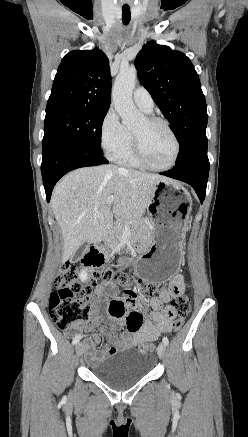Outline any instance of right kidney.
Here are the masks:
<instances>
[{
  "label": "right kidney",
  "instance_id": "1",
  "mask_svg": "<svg viewBox=\"0 0 248 437\" xmlns=\"http://www.w3.org/2000/svg\"><path fill=\"white\" fill-rule=\"evenodd\" d=\"M79 278L82 282H85L88 279V275L85 270H82L79 274Z\"/></svg>",
  "mask_w": 248,
  "mask_h": 437
}]
</instances>
